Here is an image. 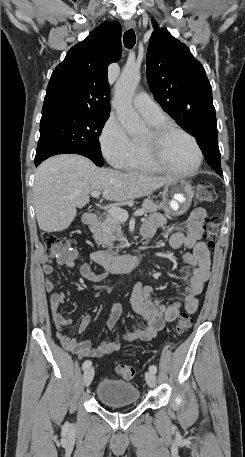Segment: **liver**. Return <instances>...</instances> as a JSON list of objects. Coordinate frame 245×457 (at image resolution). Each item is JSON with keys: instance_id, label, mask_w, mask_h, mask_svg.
Returning a JSON list of instances; mask_svg holds the SVG:
<instances>
[{"instance_id": "obj_1", "label": "liver", "mask_w": 245, "mask_h": 457, "mask_svg": "<svg viewBox=\"0 0 245 457\" xmlns=\"http://www.w3.org/2000/svg\"><path fill=\"white\" fill-rule=\"evenodd\" d=\"M171 180L172 176L99 168L81 154L52 156L35 172L33 194L39 229L46 233L68 229L77 206L82 208L89 202L92 190H102L106 200H125L147 196Z\"/></svg>"}]
</instances>
